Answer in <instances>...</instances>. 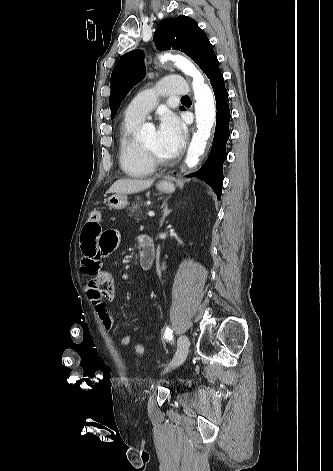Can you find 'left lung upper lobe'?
Instances as JSON below:
<instances>
[{
    "mask_svg": "<svg viewBox=\"0 0 333 471\" xmlns=\"http://www.w3.org/2000/svg\"><path fill=\"white\" fill-rule=\"evenodd\" d=\"M154 41L158 50H181L190 56L202 69L211 56L213 46L207 35L199 28L197 22L190 17L181 15L168 18L159 23L154 33ZM145 76L143 54L138 50L124 54L116 63L111 74V93L109 105L111 118L129 92ZM180 109H184L180 107Z\"/></svg>",
    "mask_w": 333,
    "mask_h": 471,
    "instance_id": "1",
    "label": "left lung upper lobe"
}]
</instances>
